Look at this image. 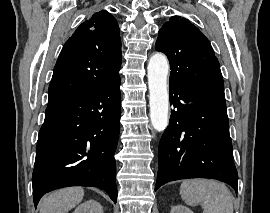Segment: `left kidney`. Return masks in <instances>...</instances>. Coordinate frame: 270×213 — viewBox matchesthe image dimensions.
<instances>
[{
    "label": "left kidney",
    "mask_w": 270,
    "mask_h": 213,
    "mask_svg": "<svg viewBox=\"0 0 270 213\" xmlns=\"http://www.w3.org/2000/svg\"><path fill=\"white\" fill-rule=\"evenodd\" d=\"M170 213H193V212L186 206L176 205L171 208Z\"/></svg>",
    "instance_id": "1"
}]
</instances>
